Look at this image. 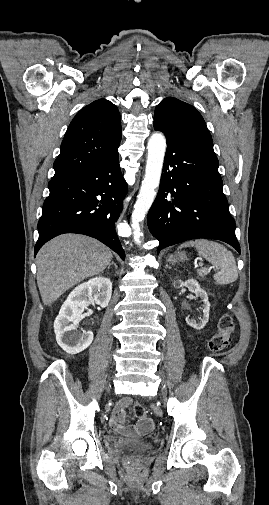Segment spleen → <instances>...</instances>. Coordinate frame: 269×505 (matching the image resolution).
Here are the masks:
<instances>
[{
	"label": "spleen",
	"mask_w": 269,
	"mask_h": 505,
	"mask_svg": "<svg viewBox=\"0 0 269 505\" xmlns=\"http://www.w3.org/2000/svg\"><path fill=\"white\" fill-rule=\"evenodd\" d=\"M186 247H195L200 256L220 268V271L214 275L216 283L226 285L237 280L238 270L235 258L232 252L220 243L207 239H196L182 243L179 249Z\"/></svg>",
	"instance_id": "3e777b00"
}]
</instances>
